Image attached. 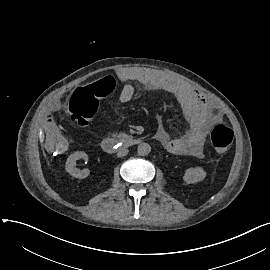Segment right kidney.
<instances>
[{"mask_svg":"<svg viewBox=\"0 0 270 270\" xmlns=\"http://www.w3.org/2000/svg\"><path fill=\"white\" fill-rule=\"evenodd\" d=\"M84 159L88 160V155L83 151H77L71 154L66 161L65 169L66 171L75 178H86L89 175V169L79 170L75 167L76 160Z\"/></svg>","mask_w":270,"mask_h":270,"instance_id":"right-kidney-1","label":"right kidney"}]
</instances>
